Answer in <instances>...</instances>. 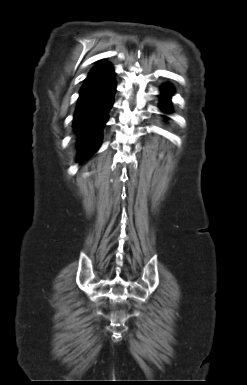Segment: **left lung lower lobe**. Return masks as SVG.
<instances>
[{"label":"left lung lower lobe","mask_w":247,"mask_h":385,"mask_svg":"<svg viewBox=\"0 0 247 385\" xmlns=\"http://www.w3.org/2000/svg\"><path fill=\"white\" fill-rule=\"evenodd\" d=\"M161 91V109L164 111H171V96L173 94V90L170 86L166 85L162 87Z\"/></svg>","instance_id":"left-lung-lower-lobe-1"}]
</instances>
